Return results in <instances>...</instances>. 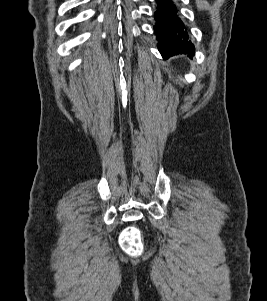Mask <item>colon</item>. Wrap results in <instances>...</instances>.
<instances>
[{"label":"colon","instance_id":"colon-1","mask_svg":"<svg viewBox=\"0 0 267 301\" xmlns=\"http://www.w3.org/2000/svg\"><path fill=\"white\" fill-rule=\"evenodd\" d=\"M120 245L129 255H139L143 250L140 231L135 227L127 228L121 235Z\"/></svg>","mask_w":267,"mask_h":301}]
</instances>
